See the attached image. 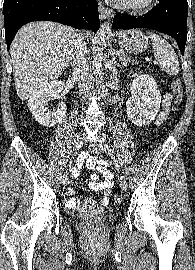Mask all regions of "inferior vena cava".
<instances>
[{
	"label": "inferior vena cava",
	"instance_id": "obj_1",
	"mask_svg": "<svg viewBox=\"0 0 195 270\" xmlns=\"http://www.w3.org/2000/svg\"><path fill=\"white\" fill-rule=\"evenodd\" d=\"M87 47L83 38L78 35L74 43L73 52V77L78 82L79 91L86 94L91 89L88 59L86 57Z\"/></svg>",
	"mask_w": 195,
	"mask_h": 270
}]
</instances>
